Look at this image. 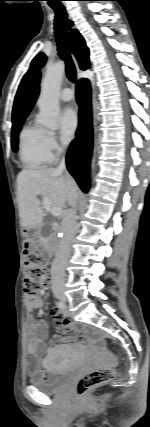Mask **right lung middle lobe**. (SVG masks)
<instances>
[{"label":"right lung middle lobe","mask_w":150,"mask_h":427,"mask_svg":"<svg viewBox=\"0 0 150 427\" xmlns=\"http://www.w3.org/2000/svg\"><path fill=\"white\" fill-rule=\"evenodd\" d=\"M24 120L13 123L12 125V136H11V145H12V149L16 152L17 148H18V134L19 131L21 130L22 124H23Z\"/></svg>","instance_id":"right-lung-middle-lobe-1"}]
</instances>
